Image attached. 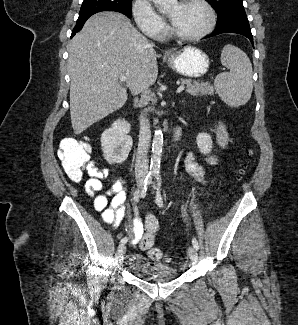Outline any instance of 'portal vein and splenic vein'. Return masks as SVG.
Instances as JSON below:
<instances>
[{
  "instance_id": "1",
  "label": "portal vein and splenic vein",
  "mask_w": 298,
  "mask_h": 325,
  "mask_svg": "<svg viewBox=\"0 0 298 325\" xmlns=\"http://www.w3.org/2000/svg\"><path fill=\"white\" fill-rule=\"evenodd\" d=\"M127 80L126 76H119V82H125ZM186 88V84H180L178 88H176V92H182Z\"/></svg>"
}]
</instances>
